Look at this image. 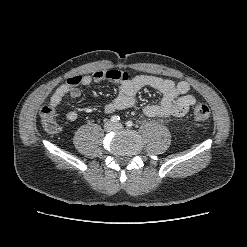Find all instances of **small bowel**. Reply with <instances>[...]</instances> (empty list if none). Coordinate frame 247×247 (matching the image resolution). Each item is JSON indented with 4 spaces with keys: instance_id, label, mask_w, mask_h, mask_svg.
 <instances>
[{
    "instance_id": "c3829d8e",
    "label": "small bowel",
    "mask_w": 247,
    "mask_h": 247,
    "mask_svg": "<svg viewBox=\"0 0 247 247\" xmlns=\"http://www.w3.org/2000/svg\"><path fill=\"white\" fill-rule=\"evenodd\" d=\"M103 81L114 83L119 88L118 96L104 106V112L107 114L132 107L136 101V94L146 87L153 88L162 94L159 103L144 107L143 112L148 117H182L196 102L195 97L189 93L190 85L186 81L175 83L172 80L153 75L130 76L128 73L119 70H106L97 71L91 75L70 77L66 83L55 90L50 98L49 105L57 109L64 98L76 99L81 97L80 86H89ZM65 118L69 122H74L77 120L78 114L76 111H68ZM58 131L59 126L57 131L51 133H57Z\"/></svg>"
}]
</instances>
